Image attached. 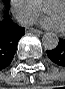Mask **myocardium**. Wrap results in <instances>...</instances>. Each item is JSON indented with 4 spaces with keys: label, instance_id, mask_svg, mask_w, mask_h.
Returning a JSON list of instances; mask_svg holds the SVG:
<instances>
[{
    "label": "myocardium",
    "instance_id": "obj_1",
    "mask_svg": "<svg viewBox=\"0 0 65 89\" xmlns=\"http://www.w3.org/2000/svg\"><path fill=\"white\" fill-rule=\"evenodd\" d=\"M50 3L62 4V5H64V7H65V1H63V0H51V1L47 2L46 5H47V4H50Z\"/></svg>",
    "mask_w": 65,
    "mask_h": 89
}]
</instances>
